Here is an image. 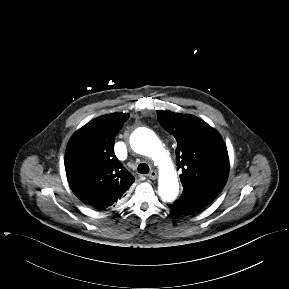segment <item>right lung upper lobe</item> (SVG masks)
Segmentation results:
<instances>
[{
  "instance_id": "obj_1",
  "label": "right lung upper lobe",
  "mask_w": 289,
  "mask_h": 289,
  "mask_svg": "<svg viewBox=\"0 0 289 289\" xmlns=\"http://www.w3.org/2000/svg\"><path fill=\"white\" fill-rule=\"evenodd\" d=\"M129 114L96 118L71 137L65 153L67 179L84 203L105 209L124 198L134 182L114 153L115 136Z\"/></svg>"
}]
</instances>
